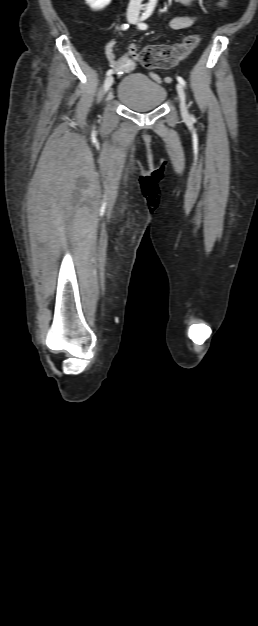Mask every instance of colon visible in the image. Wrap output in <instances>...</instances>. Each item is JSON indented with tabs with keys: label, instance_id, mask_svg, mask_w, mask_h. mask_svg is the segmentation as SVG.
<instances>
[{
	"label": "colon",
	"instance_id": "1",
	"mask_svg": "<svg viewBox=\"0 0 258 626\" xmlns=\"http://www.w3.org/2000/svg\"><path fill=\"white\" fill-rule=\"evenodd\" d=\"M199 44L198 35L187 37L176 45H152L138 52L135 45L129 46V51L137 55L146 68L169 69L178 61L187 58Z\"/></svg>",
	"mask_w": 258,
	"mask_h": 626
}]
</instances>
